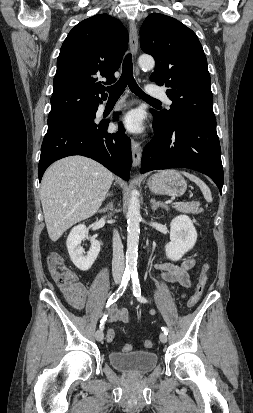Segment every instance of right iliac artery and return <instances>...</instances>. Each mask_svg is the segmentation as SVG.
I'll return each instance as SVG.
<instances>
[{"instance_id":"right-iliac-artery-1","label":"right iliac artery","mask_w":253,"mask_h":413,"mask_svg":"<svg viewBox=\"0 0 253 413\" xmlns=\"http://www.w3.org/2000/svg\"><path fill=\"white\" fill-rule=\"evenodd\" d=\"M130 280V273H124L122 277L121 284L117 291L111 295V297L108 299L106 307H109L111 304H113L122 294L124 293L128 282ZM107 315L103 316L102 319L100 320V330L104 329V323L106 321Z\"/></svg>"}]
</instances>
